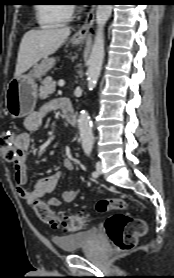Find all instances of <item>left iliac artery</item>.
Masks as SVG:
<instances>
[{
    "instance_id": "1",
    "label": "left iliac artery",
    "mask_w": 174,
    "mask_h": 278,
    "mask_svg": "<svg viewBox=\"0 0 174 278\" xmlns=\"http://www.w3.org/2000/svg\"><path fill=\"white\" fill-rule=\"evenodd\" d=\"M85 153H86L87 156H90L91 150H90V149H87V150H85ZM92 176H93V177H97V176H98V173H97L96 171H94V172L92 173Z\"/></svg>"
}]
</instances>
